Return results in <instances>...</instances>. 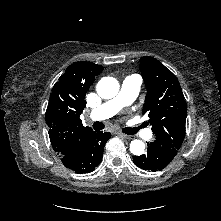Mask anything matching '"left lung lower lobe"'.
Instances as JSON below:
<instances>
[{
    "mask_svg": "<svg viewBox=\"0 0 221 221\" xmlns=\"http://www.w3.org/2000/svg\"><path fill=\"white\" fill-rule=\"evenodd\" d=\"M147 145V153L141 156H133V162L137 167L153 172L165 168L175 157L178 150L159 145L156 142Z\"/></svg>",
    "mask_w": 221,
    "mask_h": 221,
    "instance_id": "1",
    "label": "left lung lower lobe"
}]
</instances>
